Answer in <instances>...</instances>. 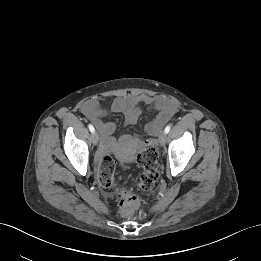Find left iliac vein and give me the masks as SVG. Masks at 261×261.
<instances>
[{
	"mask_svg": "<svg viewBox=\"0 0 261 261\" xmlns=\"http://www.w3.org/2000/svg\"><path fill=\"white\" fill-rule=\"evenodd\" d=\"M166 133L165 132H161L158 136V142L160 145H164L166 142Z\"/></svg>",
	"mask_w": 261,
	"mask_h": 261,
	"instance_id": "4c4485c4",
	"label": "left iliac vein"
}]
</instances>
